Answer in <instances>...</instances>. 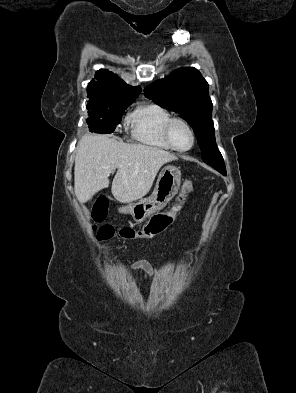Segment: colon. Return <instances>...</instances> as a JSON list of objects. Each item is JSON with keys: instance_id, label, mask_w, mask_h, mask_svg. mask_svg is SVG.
I'll list each match as a JSON object with an SVG mask.
<instances>
[{"instance_id": "obj_1", "label": "colon", "mask_w": 296, "mask_h": 393, "mask_svg": "<svg viewBox=\"0 0 296 393\" xmlns=\"http://www.w3.org/2000/svg\"><path fill=\"white\" fill-rule=\"evenodd\" d=\"M194 192V184L190 180H186L181 187V195L178 199L177 204L169 211L159 213L150 218V220L143 226L134 227H122L114 228L110 225H104L97 229V237L100 240H108L114 237H119L123 240H138V239H149L160 233H162L167 227H169L176 216V213L180 210L187 197ZM107 214V203L104 200H100L96 203L92 217L95 222H101Z\"/></svg>"}]
</instances>
